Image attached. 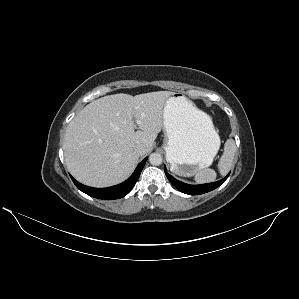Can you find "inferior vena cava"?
I'll use <instances>...</instances> for the list:
<instances>
[{
    "label": "inferior vena cava",
    "instance_id": "obj_1",
    "mask_svg": "<svg viewBox=\"0 0 299 299\" xmlns=\"http://www.w3.org/2000/svg\"><path fill=\"white\" fill-rule=\"evenodd\" d=\"M135 152L139 155H143L145 153V148L143 145H137L135 147Z\"/></svg>",
    "mask_w": 299,
    "mask_h": 299
}]
</instances>
